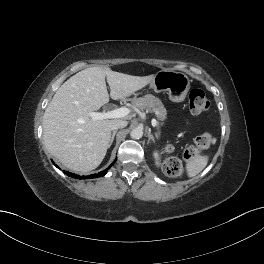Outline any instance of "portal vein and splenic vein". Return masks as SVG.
Returning <instances> with one entry per match:
<instances>
[{
  "mask_svg": "<svg viewBox=\"0 0 264 264\" xmlns=\"http://www.w3.org/2000/svg\"><path fill=\"white\" fill-rule=\"evenodd\" d=\"M130 113V110L126 107H121L115 110L107 111V112H90L89 116L92 120H105V119H114V118H122L127 116ZM157 121L155 119L152 120V126L156 127Z\"/></svg>",
  "mask_w": 264,
  "mask_h": 264,
  "instance_id": "portal-vein-and-splenic-vein-1",
  "label": "portal vein and splenic vein"
}]
</instances>
